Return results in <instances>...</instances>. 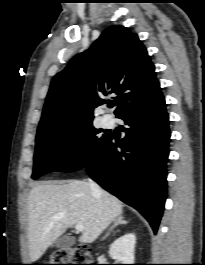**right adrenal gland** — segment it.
<instances>
[{
  "mask_svg": "<svg viewBox=\"0 0 205 265\" xmlns=\"http://www.w3.org/2000/svg\"><path fill=\"white\" fill-rule=\"evenodd\" d=\"M127 223L128 222L125 221L122 216H118L114 220V224L111 226V228L109 229V231L107 232V234L102 238V240H105L110 235V233L114 230L115 227H117L120 224L126 225Z\"/></svg>",
  "mask_w": 205,
  "mask_h": 265,
  "instance_id": "obj_1",
  "label": "right adrenal gland"
}]
</instances>
